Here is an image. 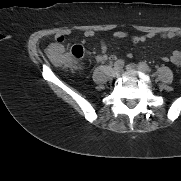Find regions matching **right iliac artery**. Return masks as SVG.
Instances as JSON below:
<instances>
[{
    "instance_id": "obj_1",
    "label": "right iliac artery",
    "mask_w": 181,
    "mask_h": 181,
    "mask_svg": "<svg viewBox=\"0 0 181 181\" xmlns=\"http://www.w3.org/2000/svg\"><path fill=\"white\" fill-rule=\"evenodd\" d=\"M124 65V61L123 60H117L115 63H114V67H122Z\"/></svg>"
}]
</instances>
